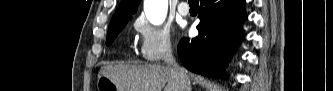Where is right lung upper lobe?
Returning <instances> with one entry per match:
<instances>
[{
    "label": "right lung upper lobe",
    "mask_w": 333,
    "mask_h": 91,
    "mask_svg": "<svg viewBox=\"0 0 333 91\" xmlns=\"http://www.w3.org/2000/svg\"><path fill=\"white\" fill-rule=\"evenodd\" d=\"M139 3L140 0H121L111 22L124 18H131V15L136 12Z\"/></svg>",
    "instance_id": "right-lung-upper-lobe-1"
}]
</instances>
